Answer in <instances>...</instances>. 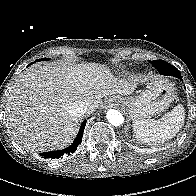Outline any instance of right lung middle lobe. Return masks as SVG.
<instances>
[{"mask_svg":"<svg viewBox=\"0 0 196 196\" xmlns=\"http://www.w3.org/2000/svg\"><path fill=\"white\" fill-rule=\"evenodd\" d=\"M49 58H42V59H37L35 62H38V61H41V60H43V61H47Z\"/></svg>","mask_w":196,"mask_h":196,"instance_id":"right-lung-middle-lobe-1","label":"right lung middle lobe"}]
</instances>
